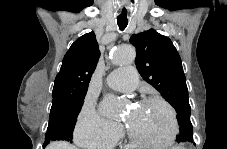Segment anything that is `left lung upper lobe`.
<instances>
[{"label": "left lung upper lobe", "mask_w": 227, "mask_h": 149, "mask_svg": "<svg viewBox=\"0 0 227 149\" xmlns=\"http://www.w3.org/2000/svg\"><path fill=\"white\" fill-rule=\"evenodd\" d=\"M129 42L136 48L135 63L142 78L157 89L177 111L180 133L176 141L193 143L186 78L172 41L150 29L133 34Z\"/></svg>", "instance_id": "left-lung-upper-lobe-1"}]
</instances>
